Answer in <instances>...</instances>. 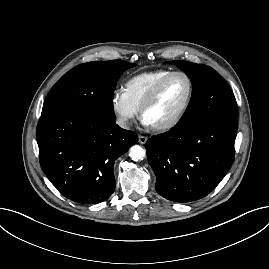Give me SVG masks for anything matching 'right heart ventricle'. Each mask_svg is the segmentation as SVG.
Returning <instances> with one entry per match:
<instances>
[{"label": "right heart ventricle", "instance_id": "right-heart-ventricle-1", "mask_svg": "<svg viewBox=\"0 0 269 269\" xmlns=\"http://www.w3.org/2000/svg\"><path fill=\"white\" fill-rule=\"evenodd\" d=\"M171 72L161 69L139 73L126 81L123 91L130 103L140 110L157 83Z\"/></svg>", "mask_w": 269, "mask_h": 269}]
</instances>
